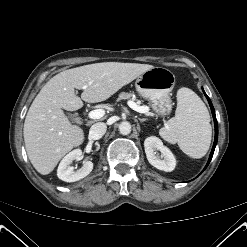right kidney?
Instances as JSON below:
<instances>
[{"label": "right kidney", "mask_w": 247, "mask_h": 247, "mask_svg": "<svg viewBox=\"0 0 247 247\" xmlns=\"http://www.w3.org/2000/svg\"><path fill=\"white\" fill-rule=\"evenodd\" d=\"M82 156L81 149H75L68 153L60 162L57 169V176L59 179L65 182H75L86 177L93 169V163L86 161L83 166L74 170L73 166H70L74 160L80 159Z\"/></svg>", "instance_id": "obj_1"}]
</instances>
